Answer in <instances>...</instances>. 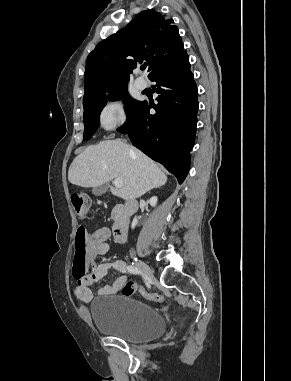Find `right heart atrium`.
I'll use <instances>...</instances> for the list:
<instances>
[{
	"label": "right heart atrium",
	"mask_w": 291,
	"mask_h": 381,
	"mask_svg": "<svg viewBox=\"0 0 291 381\" xmlns=\"http://www.w3.org/2000/svg\"><path fill=\"white\" fill-rule=\"evenodd\" d=\"M128 113L125 103L120 99L108 101L99 115L100 125L106 130L115 129L127 122Z\"/></svg>",
	"instance_id": "right-heart-atrium-1"
}]
</instances>
